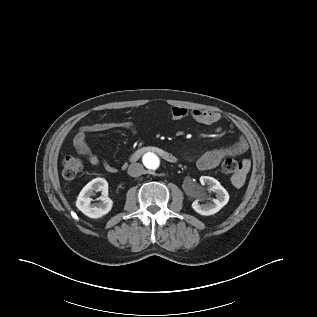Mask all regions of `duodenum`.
<instances>
[{
	"label": "duodenum",
	"mask_w": 317,
	"mask_h": 317,
	"mask_svg": "<svg viewBox=\"0 0 317 317\" xmlns=\"http://www.w3.org/2000/svg\"><path fill=\"white\" fill-rule=\"evenodd\" d=\"M147 152H153L170 163H175L177 161V158L174 154L157 146H145L136 150L132 153L130 160L133 162L137 161L144 153Z\"/></svg>",
	"instance_id": "410a0bca"
}]
</instances>
